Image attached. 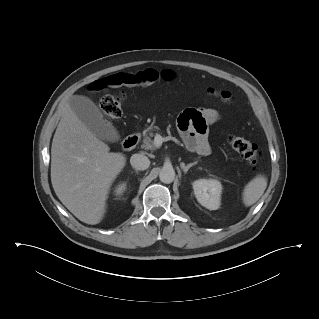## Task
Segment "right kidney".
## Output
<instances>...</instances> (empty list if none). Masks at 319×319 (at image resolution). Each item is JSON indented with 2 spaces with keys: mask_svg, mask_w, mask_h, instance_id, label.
I'll return each instance as SVG.
<instances>
[{
  "mask_svg": "<svg viewBox=\"0 0 319 319\" xmlns=\"http://www.w3.org/2000/svg\"><path fill=\"white\" fill-rule=\"evenodd\" d=\"M126 189V183L119 184L115 189V195L120 196Z\"/></svg>",
  "mask_w": 319,
  "mask_h": 319,
  "instance_id": "1",
  "label": "right kidney"
}]
</instances>
